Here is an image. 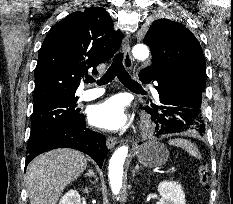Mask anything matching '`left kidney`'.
Here are the masks:
<instances>
[{
  "label": "left kidney",
  "instance_id": "obj_1",
  "mask_svg": "<svg viewBox=\"0 0 233 204\" xmlns=\"http://www.w3.org/2000/svg\"><path fill=\"white\" fill-rule=\"evenodd\" d=\"M161 199L156 204H186L182 186L176 181H163L158 185Z\"/></svg>",
  "mask_w": 233,
  "mask_h": 204
}]
</instances>
